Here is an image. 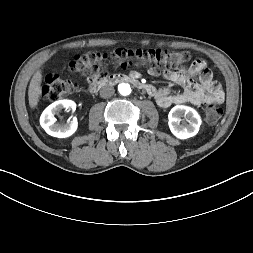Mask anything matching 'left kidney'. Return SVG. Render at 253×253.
<instances>
[{"mask_svg":"<svg viewBox=\"0 0 253 253\" xmlns=\"http://www.w3.org/2000/svg\"><path fill=\"white\" fill-rule=\"evenodd\" d=\"M183 117L188 123H180ZM168 119V125L172 134L179 139L195 136L202 123L198 112L185 105L174 106L168 114Z\"/></svg>","mask_w":253,"mask_h":253,"instance_id":"left-kidney-1","label":"left kidney"}]
</instances>
